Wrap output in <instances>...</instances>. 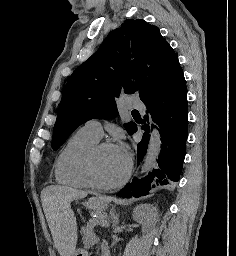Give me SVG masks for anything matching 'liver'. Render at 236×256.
<instances>
[{
    "instance_id": "6515ba94",
    "label": "liver",
    "mask_w": 236,
    "mask_h": 256,
    "mask_svg": "<svg viewBox=\"0 0 236 256\" xmlns=\"http://www.w3.org/2000/svg\"><path fill=\"white\" fill-rule=\"evenodd\" d=\"M88 192L65 188V186H47L42 190L41 200L53 236L55 246L61 256H73L77 242L76 218L70 202L86 198ZM67 232H64L65 224Z\"/></svg>"
}]
</instances>
